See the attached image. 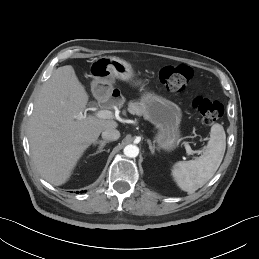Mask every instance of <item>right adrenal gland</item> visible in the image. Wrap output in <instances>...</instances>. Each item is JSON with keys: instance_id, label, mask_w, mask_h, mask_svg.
<instances>
[{"instance_id": "1", "label": "right adrenal gland", "mask_w": 259, "mask_h": 259, "mask_svg": "<svg viewBox=\"0 0 259 259\" xmlns=\"http://www.w3.org/2000/svg\"><path fill=\"white\" fill-rule=\"evenodd\" d=\"M107 143H109V141H107V140L95 141V142L93 143V146H96L97 144H99V146H98V150H97L95 153H93L92 156H95V155H97L98 153L102 152V151H103V148L105 147V145H106Z\"/></svg>"}]
</instances>
